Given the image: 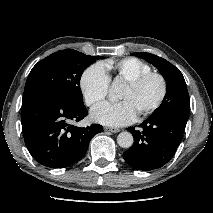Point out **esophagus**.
<instances>
[{"instance_id": "34e87169", "label": "esophagus", "mask_w": 213, "mask_h": 213, "mask_svg": "<svg viewBox=\"0 0 213 213\" xmlns=\"http://www.w3.org/2000/svg\"><path fill=\"white\" fill-rule=\"evenodd\" d=\"M104 130L112 132V133H118V132H120L119 128H114V127H105Z\"/></svg>"}]
</instances>
